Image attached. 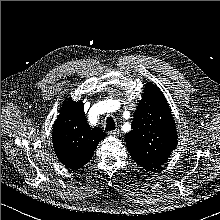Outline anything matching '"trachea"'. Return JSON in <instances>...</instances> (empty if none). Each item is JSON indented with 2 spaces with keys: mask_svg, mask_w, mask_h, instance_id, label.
I'll return each mask as SVG.
<instances>
[{
  "mask_svg": "<svg viewBox=\"0 0 220 220\" xmlns=\"http://www.w3.org/2000/svg\"><path fill=\"white\" fill-rule=\"evenodd\" d=\"M107 131H111L115 129L114 119L110 116L106 119V128Z\"/></svg>",
  "mask_w": 220,
  "mask_h": 220,
  "instance_id": "1",
  "label": "trachea"
}]
</instances>
